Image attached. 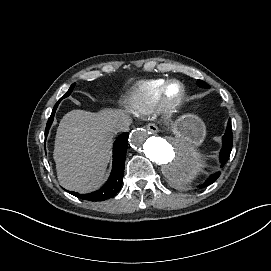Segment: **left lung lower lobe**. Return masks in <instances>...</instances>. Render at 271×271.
<instances>
[{
    "instance_id": "obj_1",
    "label": "left lung lower lobe",
    "mask_w": 271,
    "mask_h": 271,
    "mask_svg": "<svg viewBox=\"0 0 271 271\" xmlns=\"http://www.w3.org/2000/svg\"><path fill=\"white\" fill-rule=\"evenodd\" d=\"M233 139H232V127H231V119H229L227 124V129L225 135L223 136V147L220 151V163L221 167L225 165L227 160L229 159L231 149H232ZM220 176V172H216L212 174L204 183H202L199 187H206L217 180Z\"/></svg>"
}]
</instances>
